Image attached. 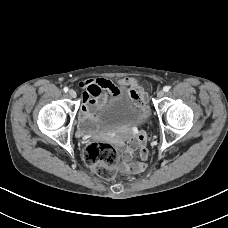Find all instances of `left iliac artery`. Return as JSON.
<instances>
[{
  "instance_id": "44dca946",
  "label": "left iliac artery",
  "mask_w": 228,
  "mask_h": 228,
  "mask_svg": "<svg viewBox=\"0 0 228 228\" xmlns=\"http://www.w3.org/2000/svg\"><path fill=\"white\" fill-rule=\"evenodd\" d=\"M169 89H170V88H169L168 86H165V87L163 88L164 92H168Z\"/></svg>"
}]
</instances>
